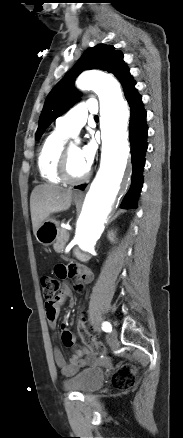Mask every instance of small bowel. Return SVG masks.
<instances>
[{
	"label": "small bowel",
	"mask_w": 183,
	"mask_h": 438,
	"mask_svg": "<svg viewBox=\"0 0 183 438\" xmlns=\"http://www.w3.org/2000/svg\"><path fill=\"white\" fill-rule=\"evenodd\" d=\"M55 275L58 278L65 279L78 276L81 283L76 286L78 291L83 290V284L89 283L92 279L91 272L84 266L69 264H58L55 266ZM72 296V290L68 285H64L60 294L51 301H46L45 311L47 321L51 328H55L58 321L60 306L65 300ZM62 343L66 347L73 348V354L66 362L61 351L58 348L54 349V360L56 365L60 368L61 373L64 376H71L75 374L80 368L93 363L95 361L94 356L89 352L87 348L77 347L75 343V336L66 327H63L61 334Z\"/></svg>",
	"instance_id": "1"
}]
</instances>
